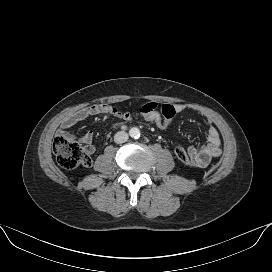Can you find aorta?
Segmentation results:
<instances>
[{
    "label": "aorta",
    "mask_w": 272,
    "mask_h": 272,
    "mask_svg": "<svg viewBox=\"0 0 272 272\" xmlns=\"http://www.w3.org/2000/svg\"><path fill=\"white\" fill-rule=\"evenodd\" d=\"M129 135L132 137V138H139L140 137V130L137 128V127H132L130 130H129Z\"/></svg>",
    "instance_id": "1"
}]
</instances>
